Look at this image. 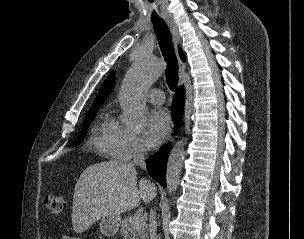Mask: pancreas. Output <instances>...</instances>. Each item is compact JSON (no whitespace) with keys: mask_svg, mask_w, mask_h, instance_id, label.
I'll use <instances>...</instances> for the list:
<instances>
[{"mask_svg":"<svg viewBox=\"0 0 304 239\" xmlns=\"http://www.w3.org/2000/svg\"><path fill=\"white\" fill-rule=\"evenodd\" d=\"M148 227L142 215L130 214L127 216L121 225V233L124 239H147Z\"/></svg>","mask_w":304,"mask_h":239,"instance_id":"1","label":"pancreas"}]
</instances>
